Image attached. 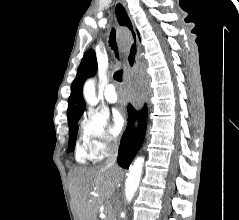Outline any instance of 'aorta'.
<instances>
[{"mask_svg":"<svg viewBox=\"0 0 239 220\" xmlns=\"http://www.w3.org/2000/svg\"><path fill=\"white\" fill-rule=\"evenodd\" d=\"M84 97L89 104H97L95 88L91 81L87 82L84 86ZM143 165L144 157H137L129 168L127 179L125 181V197L128 203L133 199L140 184Z\"/></svg>","mask_w":239,"mask_h":220,"instance_id":"762f6f07","label":"aorta"}]
</instances>
